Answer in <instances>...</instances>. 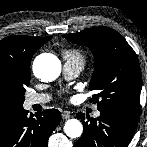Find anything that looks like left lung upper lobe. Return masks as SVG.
I'll return each instance as SVG.
<instances>
[{
	"instance_id": "1",
	"label": "left lung upper lobe",
	"mask_w": 147,
	"mask_h": 147,
	"mask_svg": "<svg viewBox=\"0 0 147 147\" xmlns=\"http://www.w3.org/2000/svg\"><path fill=\"white\" fill-rule=\"evenodd\" d=\"M71 42L88 46L94 55V72L89 85L98 93L90 102L137 125L140 111L141 71L138 58L127 41L108 27L88 28L65 34Z\"/></svg>"
}]
</instances>
